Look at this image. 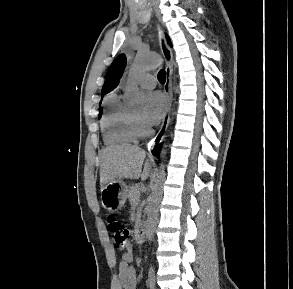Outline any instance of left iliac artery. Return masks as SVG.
Segmentation results:
<instances>
[{"label": "left iliac artery", "instance_id": "left-iliac-artery-1", "mask_svg": "<svg viewBox=\"0 0 293 289\" xmlns=\"http://www.w3.org/2000/svg\"><path fill=\"white\" fill-rule=\"evenodd\" d=\"M148 285L151 289H154L155 287V271L152 266H150L148 272Z\"/></svg>", "mask_w": 293, "mask_h": 289}]
</instances>
